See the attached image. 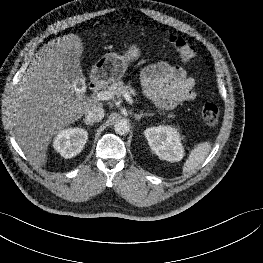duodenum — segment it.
Masks as SVG:
<instances>
[{
  "mask_svg": "<svg viewBox=\"0 0 263 263\" xmlns=\"http://www.w3.org/2000/svg\"><path fill=\"white\" fill-rule=\"evenodd\" d=\"M101 84L98 82V81H93L91 84H90V89L93 90V91H96L100 88Z\"/></svg>",
  "mask_w": 263,
  "mask_h": 263,
  "instance_id": "obj_1",
  "label": "duodenum"
}]
</instances>
